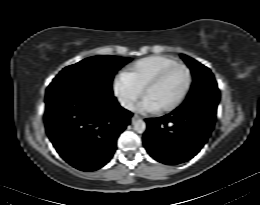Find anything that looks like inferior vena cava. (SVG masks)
<instances>
[{
	"label": "inferior vena cava",
	"mask_w": 260,
	"mask_h": 205,
	"mask_svg": "<svg viewBox=\"0 0 260 205\" xmlns=\"http://www.w3.org/2000/svg\"><path fill=\"white\" fill-rule=\"evenodd\" d=\"M120 104L122 107H124L128 110H133V103L130 100L120 99Z\"/></svg>",
	"instance_id": "obj_1"
}]
</instances>
